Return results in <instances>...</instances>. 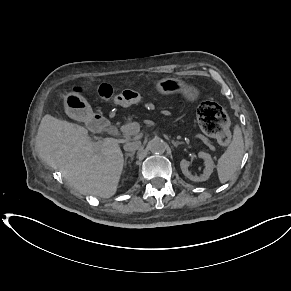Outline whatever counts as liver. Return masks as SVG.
Wrapping results in <instances>:
<instances>
[{"label": "liver", "instance_id": "obj_1", "mask_svg": "<svg viewBox=\"0 0 291 291\" xmlns=\"http://www.w3.org/2000/svg\"><path fill=\"white\" fill-rule=\"evenodd\" d=\"M126 141H94L86 128L45 115L38 129L36 150L79 193L110 198L117 191L123 171L119 144Z\"/></svg>", "mask_w": 291, "mask_h": 291}]
</instances>
